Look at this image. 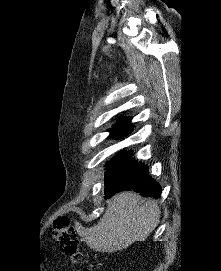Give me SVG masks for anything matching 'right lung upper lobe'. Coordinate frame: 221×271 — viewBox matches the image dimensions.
I'll return each mask as SVG.
<instances>
[{
    "mask_svg": "<svg viewBox=\"0 0 221 271\" xmlns=\"http://www.w3.org/2000/svg\"><path fill=\"white\" fill-rule=\"evenodd\" d=\"M132 128L130 118H121L110 131H131Z\"/></svg>",
    "mask_w": 221,
    "mask_h": 271,
    "instance_id": "1",
    "label": "right lung upper lobe"
}]
</instances>
